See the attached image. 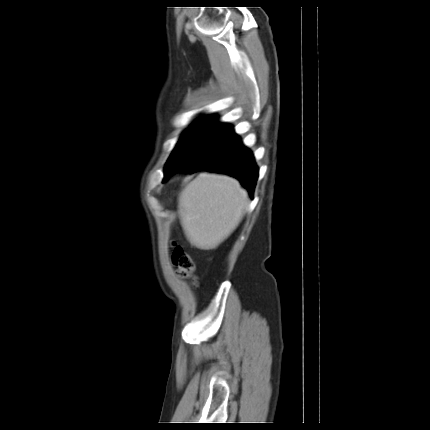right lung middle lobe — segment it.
Listing matches in <instances>:
<instances>
[{
	"mask_svg": "<svg viewBox=\"0 0 430 430\" xmlns=\"http://www.w3.org/2000/svg\"><path fill=\"white\" fill-rule=\"evenodd\" d=\"M232 130L228 124H217L211 117L196 121L182 136L165 166V176L175 173Z\"/></svg>",
	"mask_w": 430,
	"mask_h": 430,
	"instance_id": "1",
	"label": "right lung middle lobe"
}]
</instances>
